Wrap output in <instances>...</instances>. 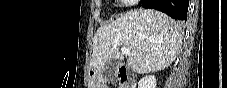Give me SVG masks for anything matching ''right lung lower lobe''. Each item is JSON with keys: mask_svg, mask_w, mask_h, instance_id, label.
<instances>
[{"mask_svg": "<svg viewBox=\"0 0 227 88\" xmlns=\"http://www.w3.org/2000/svg\"><path fill=\"white\" fill-rule=\"evenodd\" d=\"M146 8H153L166 13L175 20H187L188 0H142Z\"/></svg>", "mask_w": 227, "mask_h": 88, "instance_id": "1", "label": "right lung lower lobe"}]
</instances>
